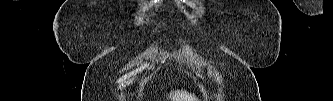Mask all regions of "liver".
Returning <instances> with one entry per match:
<instances>
[{
    "mask_svg": "<svg viewBox=\"0 0 333 101\" xmlns=\"http://www.w3.org/2000/svg\"><path fill=\"white\" fill-rule=\"evenodd\" d=\"M171 101H197V98L194 95L188 94L185 91H175L173 95L169 96Z\"/></svg>",
    "mask_w": 333,
    "mask_h": 101,
    "instance_id": "obj_1",
    "label": "liver"
}]
</instances>
